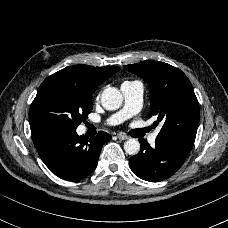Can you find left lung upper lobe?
I'll use <instances>...</instances> for the list:
<instances>
[{
    "instance_id": "obj_1",
    "label": "left lung upper lobe",
    "mask_w": 228,
    "mask_h": 228,
    "mask_svg": "<svg viewBox=\"0 0 228 228\" xmlns=\"http://www.w3.org/2000/svg\"><path fill=\"white\" fill-rule=\"evenodd\" d=\"M124 68L142 77L150 88L148 114L164 122L158 138L194 144L199 124V104L192 84L178 68L159 61H143Z\"/></svg>"
}]
</instances>
